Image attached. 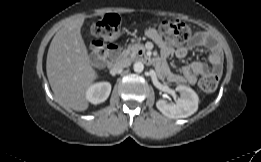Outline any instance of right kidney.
Segmentation results:
<instances>
[{
    "mask_svg": "<svg viewBox=\"0 0 261 162\" xmlns=\"http://www.w3.org/2000/svg\"><path fill=\"white\" fill-rule=\"evenodd\" d=\"M111 92L109 82H99L91 85L86 91V99L92 104H99L107 100Z\"/></svg>",
    "mask_w": 261,
    "mask_h": 162,
    "instance_id": "1",
    "label": "right kidney"
}]
</instances>
